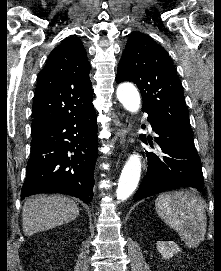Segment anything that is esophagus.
<instances>
[{
    "label": "esophagus",
    "mask_w": 221,
    "mask_h": 271,
    "mask_svg": "<svg viewBox=\"0 0 221 271\" xmlns=\"http://www.w3.org/2000/svg\"><path fill=\"white\" fill-rule=\"evenodd\" d=\"M116 134H117V136H118L120 145H122V144H123V141H124V139H125V135H126V130H125V128H121V129L117 130V131H116Z\"/></svg>",
    "instance_id": "esophagus-1"
}]
</instances>
